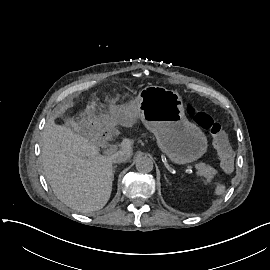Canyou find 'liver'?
Here are the masks:
<instances>
[{
    "label": "liver",
    "instance_id": "obj_1",
    "mask_svg": "<svg viewBox=\"0 0 270 270\" xmlns=\"http://www.w3.org/2000/svg\"><path fill=\"white\" fill-rule=\"evenodd\" d=\"M137 118L134 110L122 120V125L132 127ZM41 144L44 174L57 198L83 213L102 209L110 198L114 177L111 156L99 154L96 140H88L66 126L56 125L54 118H50ZM120 146V151L132 155L128 141Z\"/></svg>",
    "mask_w": 270,
    "mask_h": 270
}]
</instances>
